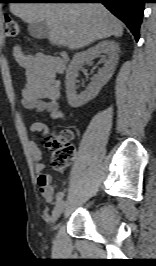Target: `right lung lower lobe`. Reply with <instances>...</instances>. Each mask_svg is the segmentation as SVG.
<instances>
[{"label": "right lung lower lobe", "mask_w": 156, "mask_h": 266, "mask_svg": "<svg viewBox=\"0 0 156 266\" xmlns=\"http://www.w3.org/2000/svg\"><path fill=\"white\" fill-rule=\"evenodd\" d=\"M47 3H102L115 16L121 19L139 39V28L143 18L146 0H44Z\"/></svg>", "instance_id": "right-lung-lower-lobe-1"}]
</instances>
